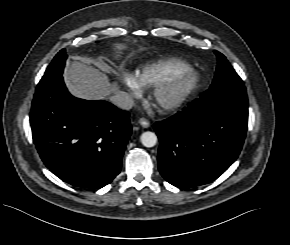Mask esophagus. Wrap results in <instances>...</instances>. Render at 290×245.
I'll return each instance as SVG.
<instances>
[{
	"label": "esophagus",
	"instance_id": "obj_1",
	"mask_svg": "<svg viewBox=\"0 0 290 245\" xmlns=\"http://www.w3.org/2000/svg\"><path fill=\"white\" fill-rule=\"evenodd\" d=\"M139 124L144 128H148L150 126V122L146 118H140Z\"/></svg>",
	"mask_w": 290,
	"mask_h": 245
}]
</instances>
